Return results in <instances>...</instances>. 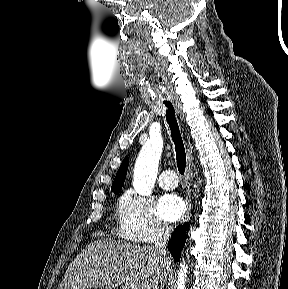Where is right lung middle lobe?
<instances>
[{
	"label": "right lung middle lobe",
	"mask_w": 288,
	"mask_h": 289,
	"mask_svg": "<svg viewBox=\"0 0 288 289\" xmlns=\"http://www.w3.org/2000/svg\"><path fill=\"white\" fill-rule=\"evenodd\" d=\"M119 192H120V190H118V191H114V193H116V194L119 193Z\"/></svg>",
	"instance_id": "dd1d6c3e"
}]
</instances>
